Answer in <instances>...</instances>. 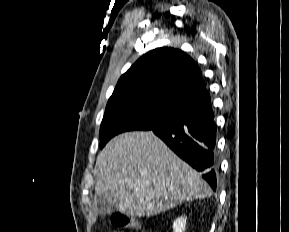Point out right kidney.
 <instances>
[{"instance_id":"ca27d5eb","label":"right kidney","mask_w":289,"mask_h":232,"mask_svg":"<svg viewBox=\"0 0 289 232\" xmlns=\"http://www.w3.org/2000/svg\"><path fill=\"white\" fill-rule=\"evenodd\" d=\"M186 217H178L173 223V232H184L186 227Z\"/></svg>"}]
</instances>
